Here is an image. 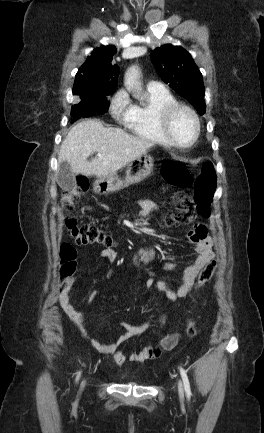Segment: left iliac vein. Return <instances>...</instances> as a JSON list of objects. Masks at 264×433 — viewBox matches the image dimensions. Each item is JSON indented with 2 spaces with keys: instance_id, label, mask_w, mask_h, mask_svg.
Returning <instances> with one entry per match:
<instances>
[{
  "instance_id": "left-iliac-vein-1",
  "label": "left iliac vein",
  "mask_w": 264,
  "mask_h": 433,
  "mask_svg": "<svg viewBox=\"0 0 264 433\" xmlns=\"http://www.w3.org/2000/svg\"><path fill=\"white\" fill-rule=\"evenodd\" d=\"M177 385H178V393H179V396H180L181 398H183V397H184V389H183V385H182V383H181L180 380H178Z\"/></svg>"
}]
</instances>
